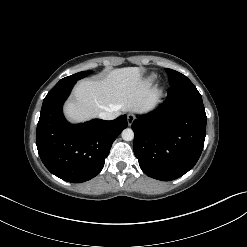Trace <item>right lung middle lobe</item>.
<instances>
[{
    "label": "right lung middle lobe",
    "mask_w": 247,
    "mask_h": 247,
    "mask_svg": "<svg viewBox=\"0 0 247 247\" xmlns=\"http://www.w3.org/2000/svg\"><path fill=\"white\" fill-rule=\"evenodd\" d=\"M89 73H90V72L82 71V72L76 73V74H74V75L65 77V78L61 79L59 82L77 81V80H79V79L85 77V76L88 75Z\"/></svg>",
    "instance_id": "right-lung-middle-lobe-1"
}]
</instances>
